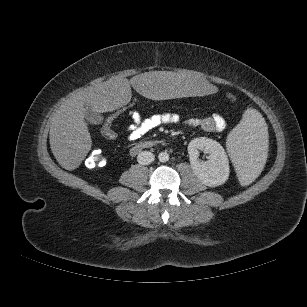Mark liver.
Listing matches in <instances>:
<instances>
[{
	"label": "liver",
	"instance_id": "6515ba94",
	"mask_svg": "<svg viewBox=\"0 0 307 307\" xmlns=\"http://www.w3.org/2000/svg\"><path fill=\"white\" fill-rule=\"evenodd\" d=\"M130 85L142 96L154 100L195 96L209 99L215 93L211 81L187 71H153L131 80L109 79L80 90L68 98L51 119L50 147L63 168L71 171L79 167L91 149L92 139L84 119L86 107L98 113L116 110L130 101Z\"/></svg>",
	"mask_w": 307,
	"mask_h": 307
}]
</instances>
